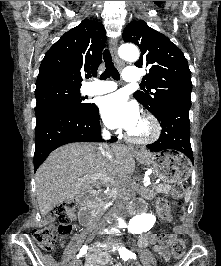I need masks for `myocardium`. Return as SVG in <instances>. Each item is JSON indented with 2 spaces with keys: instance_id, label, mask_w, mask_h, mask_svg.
<instances>
[{
  "instance_id": "1",
  "label": "myocardium",
  "mask_w": 221,
  "mask_h": 266,
  "mask_svg": "<svg viewBox=\"0 0 221 266\" xmlns=\"http://www.w3.org/2000/svg\"><path fill=\"white\" fill-rule=\"evenodd\" d=\"M142 122L146 127V132L144 134H135L128 131L127 138L133 143L146 144L154 141L158 138L161 132V126L157 119L152 115H145Z\"/></svg>"
}]
</instances>
